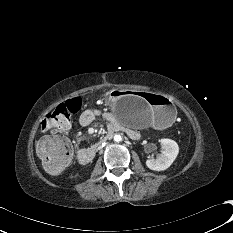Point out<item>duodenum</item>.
I'll use <instances>...</instances> for the list:
<instances>
[{
    "label": "duodenum",
    "mask_w": 233,
    "mask_h": 233,
    "mask_svg": "<svg viewBox=\"0 0 233 233\" xmlns=\"http://www.w3.org/2000/svg\"><path fill=\"white\" fill-rule=\"evenodd\" d=\"M120 129L121 128L119 126H117V125L111 126V128L108 130V132L105 133L104 135H102L101 138L99 139V141L95 145H93V146H91L89 148L80 149L79 152H78L79 162L81 164L90 163L94 159V157H95V155H96V153L98 151L99 146L101 144L109 141L112 138L115 131L120 130ZM127 133L130 134V135H134V133L131 132L130 130H127Z\"/></svg>",
    "instance_id": "duodenum-1"
}]
</instances>
